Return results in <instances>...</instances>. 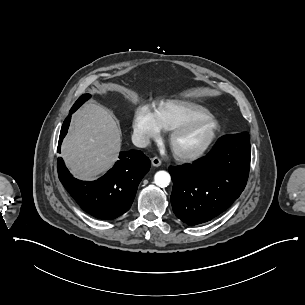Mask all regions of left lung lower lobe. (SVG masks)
<instances>
[{
    "label": "left lung lower lobe",
    "instance_id": "left-lung-lower-lobe-1",
    "mask_svg": "<svg viewBox=\"0 0 305 305\" xmlns=\"http://www.w3.org/2000/svg\"><path fill=\"white\" fill-rule=\"evenodd\" d=\"M249 133L222 137L201 160L169 167L171 204L187 225H198L221 214L244 190L250 167Z\"/></svg>",
    "mask_w": 305,
    "mask_h": 305
}]
</instances>
